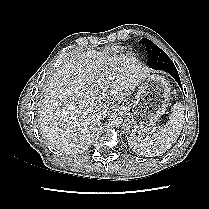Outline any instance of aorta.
Wrapping results in <instances>:
<instances>
[{
	"label": "aorta",
	"mask_w": 209,
	"mask_h": 209,
	"mask_svg": "<svg viewBox=\"0 0 209 209\" xmlns=\"http://www.w3.org/2000/svg\"><path fill=\"white\" fill-rule=\"evenodd\" d=\"M107 120L111 127H119L123 122L122 117L118 114L109 115Z\"/></svg>",
	"instance_id": "obj_1"
}]
</instances>
